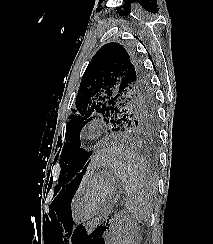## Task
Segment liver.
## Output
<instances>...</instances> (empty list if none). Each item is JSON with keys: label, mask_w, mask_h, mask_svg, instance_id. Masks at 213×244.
Instances as JSON below:
<instances>
[{"label": "liver", "mask_w": 213, "mask_h": 244, "mask_svg": "<svg viewBox=\"0 0 213 244\" xmlns=\"http://www.w3.org/2000/svg\"><path fill=\"white\" fill-rule=\"evenodd\" d=\"M107 159V155L93 157L90 168L93 169L96 165H105Z\"/></svg>", "instance_id": "1"}]
</instances>
